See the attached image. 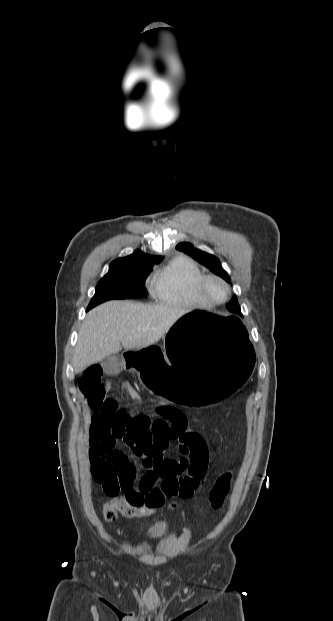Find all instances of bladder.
Returning <instances> with one entry per match:
<instances>
[{"label": "bladder", "mask_w": 333, "mask_h": 621, "mask_svg": "<svg viewBox=\"0 0 333 621\" xmlns=\"http://www.w3.org/2000/svg\"><path fill=\"white\" fill-rule=\"evenodd\" d=\"M170 530V524L166 521L156 522L151 525L145 532L148 538L161 537Z\"/></svg>", "instance_id": "obj_1"}]
</instances>
